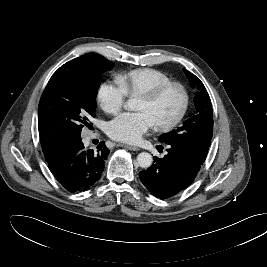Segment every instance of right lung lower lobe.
Listing matches in <instances>:
<instances>
[{"label": "right lung lower lobe", "mask_w": 267, "mask_h": 267, "mask_svg": "<svg viewBox=\"0 0 267 267\" xmlns=\"http://www.w3.org/2000/svg\"><path fill=\"white\" fill-rule=\"evenodd\" d=\"M109 150L100 142L96 150H87L81 138L68 141L48 162L49 169L69 192H82L100 178Z\"/></svg>", "instance_id": "obj_1"}]
</instances>
